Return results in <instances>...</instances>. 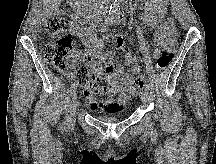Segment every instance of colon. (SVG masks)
Returning <instances> with one entry per match:
<instances>
[{
  "label": "colon",
  "mask_w": 216,
  "mask_h": 164,
  "mask_svg": "<svg viewBox=\"0 0 216 164\" xmlns=\"http://www.w3.org/2000/svg\"><path fill=\"white\" fill-rule=\"evenodd\" d=\"M75 24L73 15H69L63 10L58 11L48 21L47 28L53 41L44 46V57L61 73L75 80L82 88L94 89L100 81L101 69L92 66H81L75 62L72 40L69 37V33ZM176 47L177 33L173 27L168 33L166 48L157 57V70H164L172 63ZM143 87L144 75L135 77L131 84L132 94L141 93Z\"/></svg>",
  "instance_id": "5ec220e1"
}]
</instances>
